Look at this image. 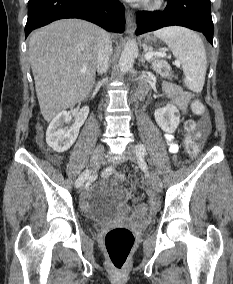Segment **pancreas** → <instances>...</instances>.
I'll return each instance as SVG.
<instances>
[{
    "label": "pancreas",
    "instance_id": "pancreas-1",
    "mask_svg": "<svg viewBox=\"0 0 233 284\" xmlns=\"http://www.w3.org/2000/svg\"><path fill=\"white\" fill-rule=\"evenodd\" d=\"M149 62L152 63L153 68H154L156 71H159V70H160V68H157V67H156L157 65H161L162 67H164V66L166 65L165 61L158 60V56H157V55L153 56V57L149 60Z\"/></svg>",
    "mask_w": 233,
    "mask_h": 284
}]
</instances>
